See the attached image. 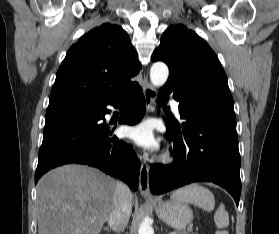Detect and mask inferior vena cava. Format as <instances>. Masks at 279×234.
<instances>
[{"label":"inferior vena cava","instance_id":"inferior-vena-cava-1","mask_svg":"<svg viewBox=\"0 0 279 234\" xmlns=\"http://www.w3.org/2000/svg\"><path fill=\"white\" fill-rule=\"evenodd\" d=\"M131 201L130 188L122 182H117L112 211L108 219V224L113 231L122 232L127 226L132 209Z\"/></svg>","mask_w":279,"mask_h":234}]
</instances>
